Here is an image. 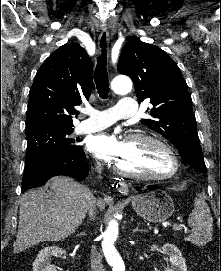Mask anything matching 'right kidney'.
<instances>
[{
	"label": "right kidney",
	"instance_id": "obj_1",
	"mask_svg": "<svg viewBox=\"0 0 221 271\" xmlns=\"http://www.w3.org/2000/svg\"><path fill=\"white\" fill-rule=\"evenodd\" d=\"M65 249L58 247V245H47L39 251L36 259L33 261V271H57L56 265L50 263L53 255H63Z\"/></svg>",
	"mask_w": 221,
	"mask_h": 271
}]
</instances>
